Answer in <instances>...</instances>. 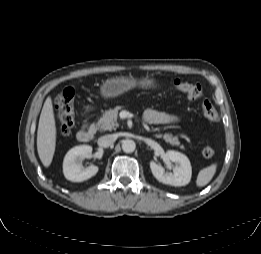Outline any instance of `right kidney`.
Segmentation results:
<instances>
[{
    "label": "right kidney",
    "instance_id": "ca27d5eb",
    "mask_svg": "<svg viewBox=\"0 0 261 254\" xmlns=\"http://www.w3.org/2000/svg\"><path fill=\"white\" fill-rule=\"evenodd\" d=\"M92 154V147L89 145L75 146L65 155L63 161V173L67 180L72 182H82L98 172V167L90 165L84 168L82 160Z\"/></svg>",
    "mask_w": 261,
    "mask_h": 254
}]
</instances>
